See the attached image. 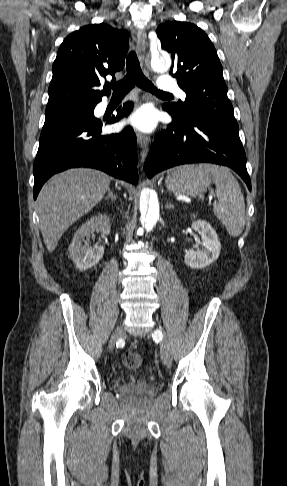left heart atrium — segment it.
Here are the masks:
<instances>
[{
    "mask_svg": "<svg viewBox=\"0 0 287 486\" xmlns=\"http://www.w3.org/2000/svg\"><path fill=\"white\" fill-rule=\"evenodd\" d=\"M130 122L140 130L150 131L155 126V115L150 109L142 108L132 115Z\"/></svg>",
    "mask_w": 287,
    "mask_h": 486,
    "instance_id": "left-heart-atrium-1",
    "label": "left heart atrium"
}]
</instances>
